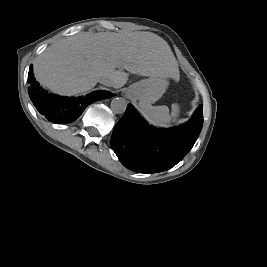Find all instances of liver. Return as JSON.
<instances>
[{
  "label": "liver",
  "mask_w": 267,
  "mask_h": 267,
  "mask_svg": "<svg viewBox=\"0 0 267 267\" xmlns=\"http://www.w3.org/2000/svg\"><path fill=\"white\" fill-rule=\"evenodd\" d=\"M132 74L177 79L178 63L168 43L152 32H81L48 46L35 60L36 80L60 95L92 89L101 77L123 87Z\"/></svg>",
  "instance_id": "6515ba94"
}]
</instances>
